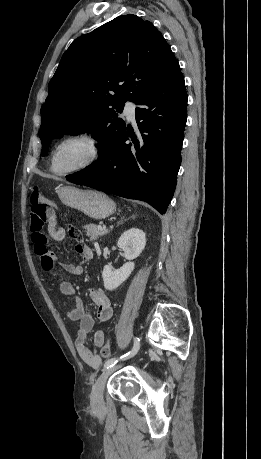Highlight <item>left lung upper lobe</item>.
Wrapping results in <instances>:
<instances>
[{
    "mask_svg": "<svg viewBox=\"0 0 261 459\" xmlns=\"http://www.w3.org/2000/svg\"><path fill=\"white\" fill-rule=\"evenodd\" d=\"M176 61L153 24L132 14L74 40L41 108L42 155L54 137L89 132L100 142L93 165L101 161L126 128L117 112L156 85Z\"/></svg>",
    "mask_w": 261,
    "mask_h": 459,
    "instance_id": "5c2ea615",
    "label": "left lung upper lobe"
}]
</instances>
